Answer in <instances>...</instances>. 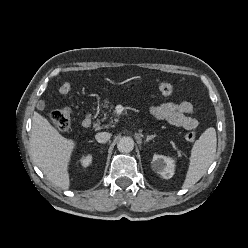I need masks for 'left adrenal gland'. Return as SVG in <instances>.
Here are the masks:
<instances>
[{"label":"left adrenal gland","mask_w":248,"mask_h":248,"mask_svg":"<svg viewBox=\"0 0 248 248\" xmlns=\"http://www.w3.org/2000/svg\"><path fill=\"white\" fill-rule=\"evenodd\" d=\"M156 135H150V136H147L145 142H148L149 140H152L153 138H155Z\"/></svg>","instance_id":"obj_1"}]
</instances>
